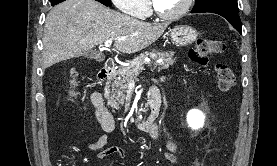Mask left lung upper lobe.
Listing matches in <instances>:
<instances>
[{
    "label": "left lung upper lobe",
    "mask_w": 277,
    "mask_h": 166,
    "mask_svg": "<svg viewBox=\"0 0 277 166\" xmlns=\"http://www.w3.org/2000/svg\"><path fill=\"white\" fill-rule=\"evenodd\" d=\"M195 6L191 13L209 12V11H228L238 13L236 0H195Z\"/></svg>",
    "instance_id": "left-lung-upper-lobe-1"
}]
</instances>
